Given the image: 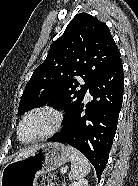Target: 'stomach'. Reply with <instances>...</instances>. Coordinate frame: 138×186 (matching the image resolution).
<instances>
[{
  "label": "stomach",
  "mask_w": 138,
  "mask_h": 186,
  "mask_svg": "<svg viewBox=\"0 0 138 186\" xmlns=\"http://www.w3.org/2000/svg\"><path fill=\"white\" fill-rule=\"evenodd\" d=\"M70 160L66 147L60 143H46L25 157H17L2 170L0 186H36L39 175L53 171Z\"/></svg>",
  "instance_id": "obj_1"
}]
</instances>
